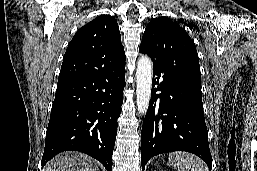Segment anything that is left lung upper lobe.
<instances>
[{"label": "left lung upper lobe", "instance_id": "5c2ea615", "mask_svg": "<svg viewBox=\"0 0 257 171\" xmlns=\"http://www.w3.org/2000/svg\"><path fill=\"white\" fill-rule=\"evenodd\" d=\"M140 52L153 62L172 64L201 81L196 46L184 28L168 18L153 19L145 29Z\"/></svg>", "mask_w": 257, "mask_h": 171}]
</instances>
